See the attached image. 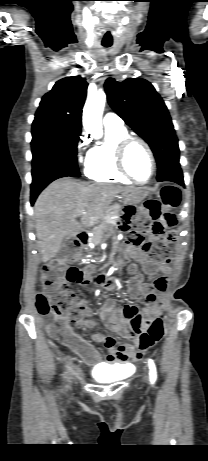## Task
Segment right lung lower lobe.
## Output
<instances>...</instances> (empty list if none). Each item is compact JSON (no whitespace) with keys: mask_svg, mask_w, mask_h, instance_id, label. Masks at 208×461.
<instances>
[{"mask_svg":"<svg viewBox=\"0 0 208 461\" xmlns=\"http://www.w3.org/2000/svg\"><path fill=\"white\" fill-rule=\"evenodd\" d=\"M75 177L65 170H52L44 173L40 177L33 179L31 184V205L34 204L35 199L39 193L52 181L62 177Z\"/></svg>","mask_w":208,"mask_h":461,"instance_id":"98d812e1","label":"right lung lower lobe"}]
</instances>
